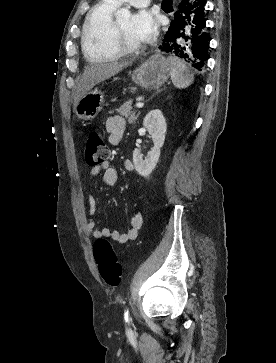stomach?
Segmentation results:
<instances>
[{"label": "stomach", "mask_w": 276, "mask_h": 363, "mask_svg": "<svg viewBox=\"0 0 276 363\" xmlns=\"http://www.w3.org/2000/svg\"><path fill=\"white\" fill-rule=\"evenodd\" d=\"M171 66L169 59L155 53L137 67L132 74V80L144 89H158L169 78ZM104 103L103 93L95 88L85 93L75 107L79 119L92 120L101 111Z\"/></svg>", "instance_id": "stomach-1"}]
</instances>
